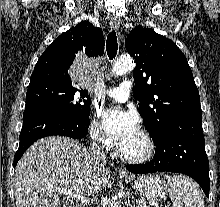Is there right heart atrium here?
Listing matches in <instances>:
<instances>
[{
    "label": "right heart atrium",
    "instance_id": "obj_1",
    "mask_svg": "<svg viewBox=\"0 0 220 207\" xmlns=\"http://www.w3.org/2000/svg\"><path fill=\"white\" fill-rule=\"evenodd\" d=\"M89 134L92 142L99 148L108 150L111 148V140L102 130L97 119H92L89 125Z\"/></svg>",
    "mask_w": 220,
    "mask_h": 207
}]
</instances>
